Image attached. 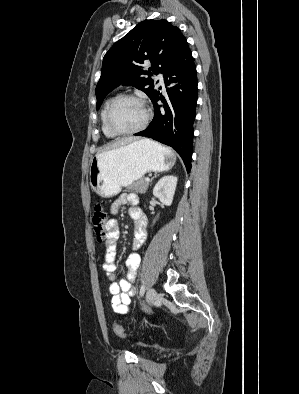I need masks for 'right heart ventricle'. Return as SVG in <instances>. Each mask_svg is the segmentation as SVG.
Returning <instances> with one entry per match:
<instances>
[{"mask_svg":"<svg viewBox=\"0 0 299 394\" xmlns=\"http://www.w3.org/2000/svg\"><path fill=\"white\" fill-rule=\"evenodd\" d=\"M111 100H112V99H108V100L104 103L103 108H102V111H101V127H102V132H103V134H104L106 137H108V138H114V137L116 136L115 134H113V133L108 129V127H107V125H106V120H105L106 110H107V107H108V105H109V103H110Z\"/></svg>","mask_w":299,"mask_h":394,"instance_id":"obj_1","label":"right heart ventricle"}]
</instances>
